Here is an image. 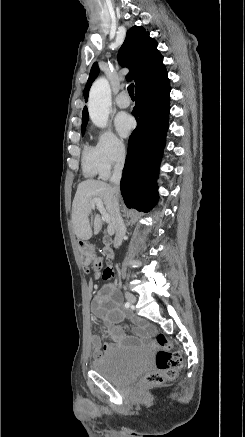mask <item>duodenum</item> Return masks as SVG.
<instances>
[{
    "label": "duodenum",
    "mask_w": 245,
    "mask_h": 437,
    "mask_svg": "<svg viewBox=\"0 0 245 437\" xmlns=\"http://www.w3.org/2000/svg\"><path fill=\"white\" fill-rule=\"evenodd\" d=\"M109 240H106V246L103 248V253L105 255V257L109 260H111L113 258V251L111 249V247L108 245Z\"/></svg>",
    "instance_id": "duodenum-1"
}]
</instances>
